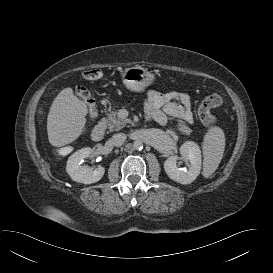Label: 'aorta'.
I'll use <instances>...</instances> for the list:
<instances>
[{
  "mask_svg": "<svg viewBox=\"0 0 273 273\" xmlns=\"http://www.w3.org/2000/svg\"><path fill=\"white\" fill-rule=\"evenodd\" d=\"M133 148L136 150H140L143 148V142L140 139H137L133 142Z\"/></svg>",
  "mask_w": 273,
  "mask_h": 273,
  "instance_id": "1",
  "label": "aorta"
}]
</instances>
